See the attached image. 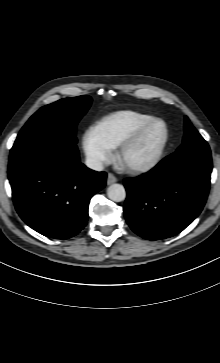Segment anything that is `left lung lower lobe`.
Instances as JSON below:
<instances>
[{
  "label": "left lung lower lobe",
  "instance_id": "1",
  "mask_svg": "<svg viewBox=\"0 0 220 363\" xmlns=\"http://www.w3.org/2000/svg\"><path fill=\"white\" fill-rule=\"evenodd\" d=\"M211 171L210 149L188 147L167 156L148 173L124 180L128 225L148 240L180 233L200 214Z\"/></svg>",
  "mask_w": 220,
  "mask_h": 363
}]
</instances>
